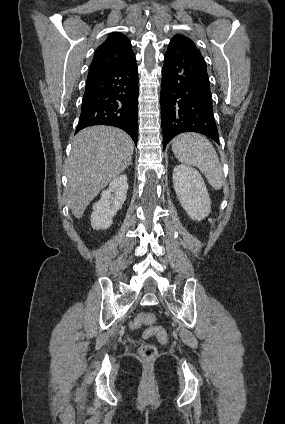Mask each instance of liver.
Wrapping results in <instances>:
<instances>
[{
  "label": "liver",
  "mask_w": 285,
  "mask_h": 424,
  "mask_svg": "<svg viewBox=\"0 0 285 424\" xmlns=\"http://www.w3.org/2000/svg\"><path fill=\"white\" fill-rule=\"evenodd\" d=\"M133 149L131 137L115 127H88L74 137L66 193L76 218H81L99 192L128 167Z\"/></svg>",
  "instance_id": "obj_1"
}]
</instances>
